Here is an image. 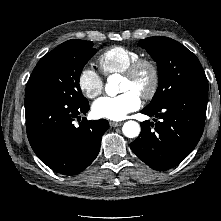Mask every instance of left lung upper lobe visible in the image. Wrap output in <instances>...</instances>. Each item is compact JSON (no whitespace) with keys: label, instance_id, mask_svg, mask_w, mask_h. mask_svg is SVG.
<instances>
[{"label":"left lung upper lobe","instance_id":"5c2ea615","mask_svg":"<svg viewBox=\"0 0 221 221\" xmlns=\"http://www.w3.org/2000/svg\"><path fill=\"white\" fill-rule=\"evenodd\" d=\"M138 45L156 61L158 89L145 108H156L188 92L208 93L207 78L197 57L179 42L163 36L140 40Z\"/></svg>","mask_w":221,"mask_h":221}]
</instances>
